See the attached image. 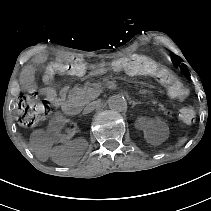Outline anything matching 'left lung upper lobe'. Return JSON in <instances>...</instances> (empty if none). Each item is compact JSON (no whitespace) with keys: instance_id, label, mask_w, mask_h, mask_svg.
Here are the masks:
<instances>
[{"instance_id":"left-lung-upper-lobe-1","label":"left lung upper lobe","mask_w":211,"mask_h":211,"mask_svg":"<svg viewBox=\"0 0 211 211\" xmlns=\"http://www.w3.org/2000/svg\"><path fill=\"white\" fill-rule=\"evenodd\" d=\"M171 59H172V62H173V63H175V64H177V65L180 66L181 70H184V71H186L187 73H189L188 70L186 69L185 65H184V64H181V59H180L178 56L173 55V56L171 57Z\"/></svg>"}]
</instances>
